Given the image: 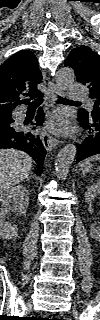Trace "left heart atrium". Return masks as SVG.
<instances>
[{
    "label": "left heart atrium",
    "instance_id": "obj_1",
    "mask_svg": "<svg viewBox=\"0 0 100 320\" xmlns=\"http://www.w3.org/2000/svg\"><path fill=\"white\" fill-rule=\"evenodd\" d=\"M46 127L57 134H69L72 132L68 118L62 112L54 113L47 121Z\"/></svg>",
    "mask_w": 100,
    "mask_h": 320
}]
</instances>
